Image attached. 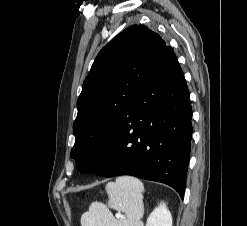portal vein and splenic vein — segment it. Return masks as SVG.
I'll use <instances>...</instances> for the list:
<instances>
[{"label":"portal vein and splenic vein","instance_id":"portal-vein-and-splenic-vein-1","mask_svg":"<svg viewBox=\"0 0 247 226\" xmlns=\"http://www.w3.org/2000/svg\"><path fill=\"white\" fill-rule=\"evenodd\" d=\"M121 217V215L120 214H116V218H120Z\"/></svg>","mask_w":247,"mask_h":226}]
</instances>
